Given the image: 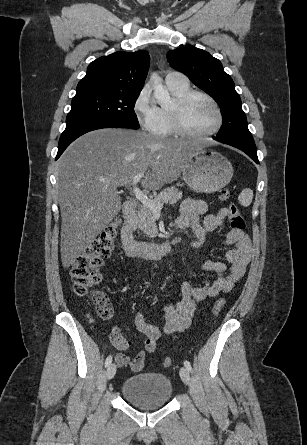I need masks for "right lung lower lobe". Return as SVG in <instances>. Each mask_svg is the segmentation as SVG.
Masks as SVG:
<instances>
[{
	"label": "right lung lower lobe",
	"mask_w": 307,
	"mask_h": 445,
	"mask_svg": "<svg viewBox=\"0 0 307 445\" xmlns=\"http://www.w3.org/2000/svg\"><path fill=\"white\" fill-rule=\"evenodd\" d=\"M125 127L126 126H123L121 124H117L114 122H105V121H89L66 126V129L62 133L59 140L56 160L60 157V155L64 152V150L68 147L70 143H72L79 136L89 131L101 128H125Z\"/></svg>",
	"instance_id": "1"
}]
</instances>
